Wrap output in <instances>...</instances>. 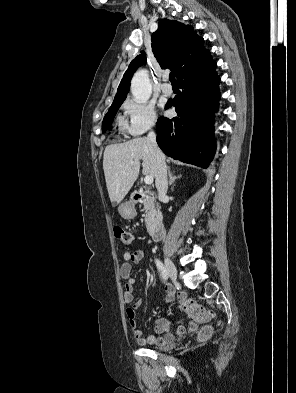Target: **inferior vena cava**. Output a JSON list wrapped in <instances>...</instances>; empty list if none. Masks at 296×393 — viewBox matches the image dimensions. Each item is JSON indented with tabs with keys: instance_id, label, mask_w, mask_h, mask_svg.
<instances>
[{
	"instance_id": "obj_1",
	"label": "inferior vena cava",
	"mask_w": 296,
	"mask_h": 393,
	"mask_svg": "<svg viewBox=\"0 0 296 393\" xmlns=\"http://www.w3.org/2000/svg\"><path fill=\"white\" fill-rule=\"evenodd\" d=\"M147 143L155 161V165H156L155 184L158 190L159 200L162 201L163 199L166 198L167 196L166 194L168 190L167 166L165 163V157L157 145L156 134L153 131H150L148 133Z\"/></svg>"
}]
</instances>
